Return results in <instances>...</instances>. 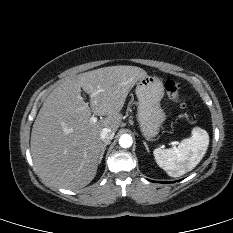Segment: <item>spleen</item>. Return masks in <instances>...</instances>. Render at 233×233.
Masks as SVG:
<instances>
[{"instance_id": "obj_1", "label": "spleen", "mask_w": 233, "mask_h": 233, "mask_svg": "<svg viewBox=\"0 0 233 233\" xmlns=\"http://www.w3.org/2000/svg\"><path fill=\"white\" fill-rule=\"evenodd\" d=\"M191 137L182 140L177 148H156L153 151L156 163L171 177H179L194 169L204 157L209 135L200 127L192 130Z\"/></svg>"}]
</instances>
